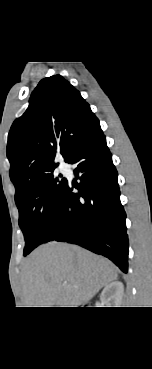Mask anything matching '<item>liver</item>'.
<instances>
[{
  "label": "liver",
  "mask_w": 152,
  "mask_h": 369,
  "mask_svg": "<svg viewBox=\"0 0 152 369\" xmlns=\"http://www.w3.org/2000/svg\"><path fill=\"white\" fill-rule=\"evenodd\" d=\"M103 257L78 246L50 242L34 250L22 271L26 307H78L117 279Z\"/></svg>",
  "instance_id": "6515ba94"
}]
</instances>
